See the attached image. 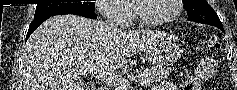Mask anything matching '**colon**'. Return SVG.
Listing matches in <instances>:
<instances>
[{"label": "colon", "instance_id": "1", "mask_svg": "<svg viewBox=\"0 0 237 90\" xmlns=\"http://www.w3.org/2000/svg\"><path fill=\"white\" fill-rule=\"evenodd\" d=\"M215 49H216V50H219V49H220L219 44H216Z\"/></svg>", "mask_w": 237, "mask_h": 90}]
</instances>
